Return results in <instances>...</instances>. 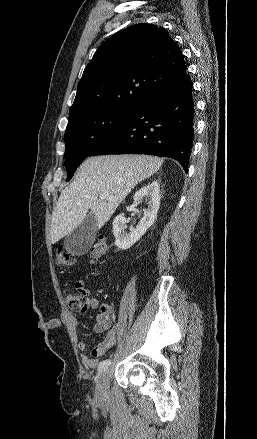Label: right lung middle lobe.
<instances>
[{"mask_svg": "<svg viewBox=\"0 0 257 439\" xmlns=\"http://www.w3.org/2000/svg\"><path fill=\"white\" fill-rule=\"evenodd\" d=\"M135 110L98 109L80 113L69 119L64 141L65 167L71 180L77 167L95 147L120 126Z\"/></svg>", "mask_w": 257, "mask_h": 439, "instance_id": "dd1d6c3e", "label": "right lung middle lobe"}]
</instances>
